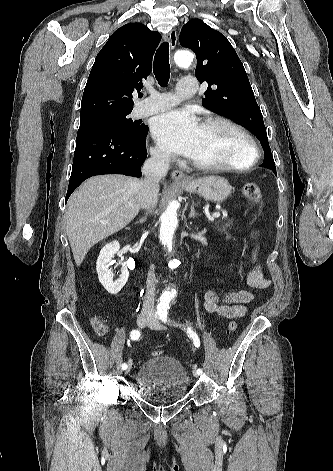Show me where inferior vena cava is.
<instances>
[{
  "label": "inferior vena cava",
  "mask_w": 333,
  "mask_h": 471,
  "mask_svg": "<svg viewBox=\"0 0 333 471\" xmlns=\"http://www.w3.org/2000/svg\"><path fill=\"white\" fill-rule=\"evenodd\" d=\"M171 155L167 152L156 150L151 152V157L142 167L144 179L141 181L140 201L141 207L151 211L158 202L159 181L166 176L169 170ZM156 278L154 266L150 267L146 281V294L142 304L143 313L154 312V297Z\"/></svg>",
  "instance_id": "obj_1"
}]
</instances>
